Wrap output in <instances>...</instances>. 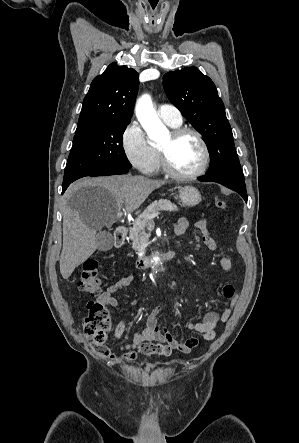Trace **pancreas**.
<instances>
[{
  "label": "pancreas",
  "instance_id": "1",
  "mask_svg": "<svg viewBox=\"0 0 299 443\" xmlns=\"http://www.w3.org/2000/svg\"><path fill=\"white\" fill-rule=\"evenodd\" d=\"M163 210L172 212L178 211V208L175 204L166 199L154 201L143 211L142 214H140L135 220L133 227L130 228L129 239L132 240V247L138 254L145 252V246L147 243L146 227L151 222L148 217Z\"/></svg>",
  "mask_w": 299,
  "mask_h": 443
}]
</instances>
